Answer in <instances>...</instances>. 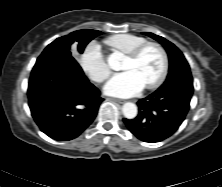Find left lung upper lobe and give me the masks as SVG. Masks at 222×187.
I'll list each match as a JSON object with an SVG mask.
<instances>
[{
  "instance_id": "obj_1",
  "label": "left lung upper lobe",
  "mask_w": 222,
  "mask_h": 187,
  "mask_svg": "<svg viewBox=\"0 0 222 187\" xmlns=\"http://www.w3.org/2000/svg\"><path fill=\"white\" fill-rule=\"evenodd\" d=\"M143 34L155 39L160 44H162L169 56V73L166 81L159 89L170 84L171 82H179L182 75H191L188 62L186 61L182 52L173 43L150 32H143ZM178 85L181 84L178 83Z\"/></svg>"
}]
</instances>
